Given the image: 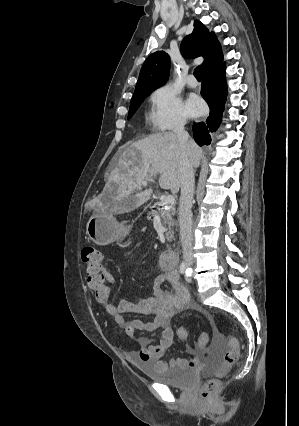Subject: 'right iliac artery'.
Returning <instances> with one entry per match:
<instances>
[{
  "label": "right iliac artery",
  "instance_id": "obj_1",
  "mask_svg": "<svg viewBox=\"0 0 299 426\" xmlns=\"http://www.w3.org/2000/svg\"><path fill=\"white\" fill-rule=\"evenodd\" d=\"M180 273L181 274H184L185 272H186V266H185V263L184 262H182L181 264H180Z\"/></svg>",
  "mask_w": 299,
  "mask_h": 426
}]
</instances>
